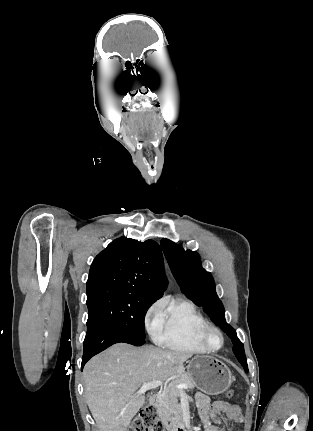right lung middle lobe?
<instances>
[{"instance_id":"1","label":"right lung middle lobe","mask_w":313,"mask_h":431,"mask_svg":"<svg viewBox=\"0 0 313 431\" xmlns=\"http://www.w3.org/2000/svg\"><path fill=\"white\" fill-rule=\"evenodd\" d=\"M155 301L124 290H109L88 296L87 333L108 326L144 340V317Z\"/></svg>"}]
</instances>
